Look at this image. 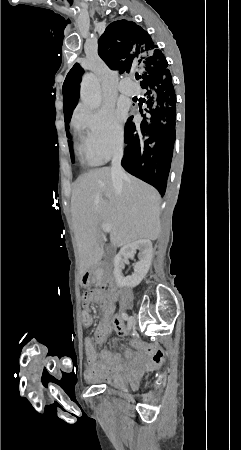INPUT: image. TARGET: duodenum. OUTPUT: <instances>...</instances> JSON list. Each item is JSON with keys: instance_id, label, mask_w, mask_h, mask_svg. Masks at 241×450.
<instances>
[{"instance_id": "obj_1", "label": "duodenum", "mask_w": 241, "mask_h": 450, "mask_svg": "<svg viewBox=\"0 0 241 450\" xmlns=\"http://www.w3.org/2000/svg\"><path fill=\"white\" fill-rule=\"evenodd\" d=\"M93 282H98L100 285L106 287L112 296L116 298L117 292L114 286V281L110 272H105L101 276H98L92 269L86 270L82 275V283L84 286H88Z\"/></svg>"}]
</instances>
